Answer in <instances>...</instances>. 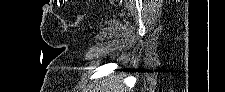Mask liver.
I'll return each instance as SVG.
<instances>
[{
    "mask_svg": "<svg viewBox=\"0 0 225 92\" xmlns=\"http://www.w3.org/2000/svg\"><path fill=\"white\" fill-rule=\"evenodd\" d=\"M121 80L122 76H111L99 89L102 90L101 92H126Z\"/></svg>",
    "mask_w": 225,
    "mask_h": 92,
    "instance_id": "liver-1",
    "label": "liver"
}]
</instances>
